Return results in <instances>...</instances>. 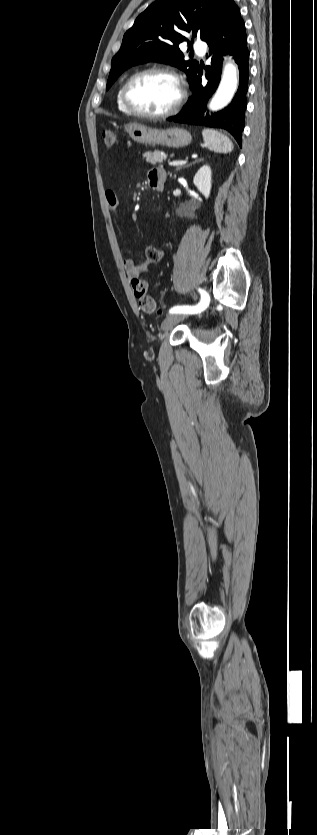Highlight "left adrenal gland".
Instances as JSON below:
<instances>
[{"instance_id":"left-adrenal-gland-1","label":"left adrenal gland","mask_w":317,"mask_h":835,"mask_svg":"<svg viewBox=\"0 0 317 835\" xmlns=\"http://www.w3.org/2000/svg\"><path fill=\"white\" fill-rule=\"evenodd\" d=\"M202 160H203V159L195 160L194 162H192V163H190V164L186 165V167H189V166H191V165H193V164H196L197 162H200V161H202Z\"/></svg>"}]
</instances>
